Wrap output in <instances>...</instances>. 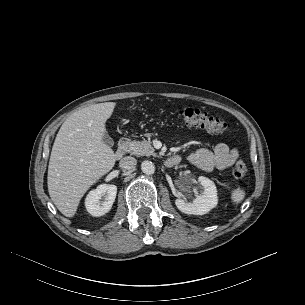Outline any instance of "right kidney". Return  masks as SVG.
I'll return each mask as SVG.
<instances>
[{
	"mask_svg": "<svg viewBox=\"0 0 305 305\" xmlns=\"http://www.w3.org/2000/svg\"><path fill=\"white\" fill-rule=\"evenodd\" d=\"M116 194L117 187L115 185H99L87 195L85 207L92 216H102L110 211L115 201ZM102 197H104L103 201H101Z\"/></svg>",
	"mask_w": 305,
	"mask_h": 305,
	"instance_id": "right-kidney-1",
	"label": "right kidney"
}]
</instances>
